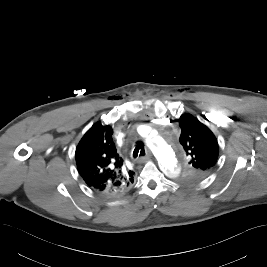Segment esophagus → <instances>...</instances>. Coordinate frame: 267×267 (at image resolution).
Masks as SVG:
<instances>
[{"label": "esophagus", "instance_id": "obj_1", "mask_svg": "<svg viewBox=\"0 0 267 267\" xmlns=\"http://www.w3.org/2000/svg\"><path fill=\"white\" fill-rule=\"evenodd\" d=\"M150 159V157L148 156V155H146V156H142V157H140V161L141 162H145V161H147V160H149Z\"/></svg>", "mask_w": 267, "mask_h": 267}]
</instances>
